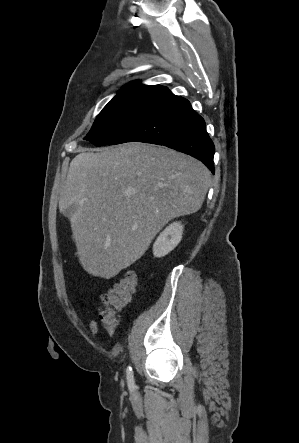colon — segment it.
<instances>
[{"mask_svg": "<svg viewBox=\"0 0 299 443\" xmlns=\"http://www.w3.org/2000/svg\"><path fill=\"white\" fill-rule=\"evenodd\" d=\"M136 287L137 274L128 270L102 295L100 320L106 330L115 331L118 325L116 314L127 305Z\"/></svg>", "mask_w": 299, "mask_h": 443, "instance_id": "1", "label": "colon"}]
</instances>
